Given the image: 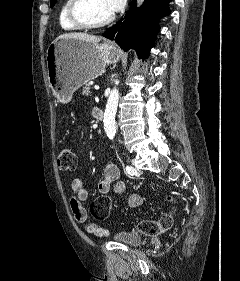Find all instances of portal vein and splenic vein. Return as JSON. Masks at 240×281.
<instances>
[{
	"instance_id": "18ae733b",
	"label": "portal vein and splenic vein",
	"mask_w": 240,
	"mask_h": 281,
	"mask_svg": "<svg viewBox=\"0 0 240 281\" xmlns=\"http://www.w3.org/2000/svg\"><path fill=\"white\" fill-rule=\"evenodd\" d=\"M95 89H96V90H98V89H99V87H95Z\"/></svg>"
}]
</instances>
